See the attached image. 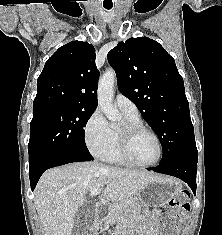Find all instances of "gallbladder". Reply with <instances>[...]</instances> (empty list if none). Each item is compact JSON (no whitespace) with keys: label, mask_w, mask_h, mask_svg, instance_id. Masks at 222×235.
Masks as SVG:
<instances>
[{"label":"gallbladder","mask_w":222,"mask_h":235,"mask_svg":"<svg viewBox=\"0 0 222 235\" xmlns=\"http://www.w3.org/2000/svg\"><path fill=\"white\" fill-rule=\"evenodd\" d=\"M95 219V204L83 203L74 217V228L72 235H85Z\"/></svg>","instance_id":"gallbladder-1"}]
</instances>
